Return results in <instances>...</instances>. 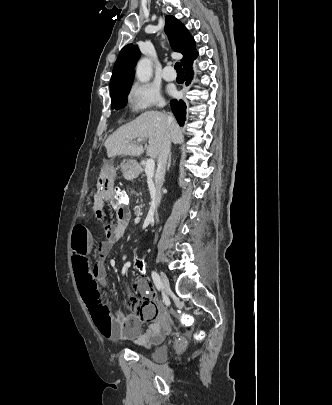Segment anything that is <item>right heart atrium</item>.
<instances>
[{"label": "right heart atrium", "mask_w": 332, "mask_h": 405, "mask_svg": "<svg viewBox=\"0 0 332 405\" xmlns=\"http://www.w3.org/2000/svg\"><path fill=\"white\" fill-rule=\"evenodd\" d=\"M129 105L136 113L145 112L164 105L159 90L149 84L135 83L128 95Z\"/></svg>", "instance_id": "d8ad5b80"}]
</instances>
